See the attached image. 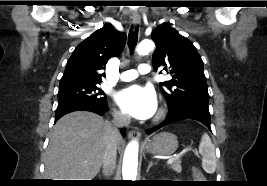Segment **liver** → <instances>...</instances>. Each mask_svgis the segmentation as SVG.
Returning a JSON list of instances; mask_svg holds the SVG:
<instances>
[{
  "label": "liver",
  "mask_w": 267,
  "mask_h": 186,
  "mask_svg": "<svg viewBox=\"0 0 267 186\" xmlns=\"http://www.w3.org/2000/svg\"><path fill=\"white\" fill-rule=\"evenodd\" d=\"M109 122L87 111L63 116L53 127L45 154V172L52 180H92L100 170ZM123 142L122 137L118 145Z\"/></svg>",
  "instance_id": "liver-1"
}]
</instances>
